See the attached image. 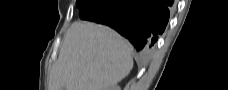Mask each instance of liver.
I'll list each match as a JSON object with an SVG mask.
<instances>
[{
  "instance_id": "1",
  "label": "liver",
  "mask_w": 228,
  "mask_h": 90,
  "mask_svg": "<svg viewBox=\"0 0 228 90\" xmlns=\"http://www.w3.org/2000/svg\"><path fill=\"white\" fill-rule=\"evenodd\" d=\"M129 43L112 29L90 22H74L68 29L49 90H107L132 70Z\"/></svg>"
}]
</instances>
